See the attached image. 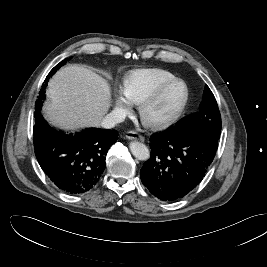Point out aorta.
I'll return each mask as SVG.
<instances>
[{
	"label": "aorta",
	"instance_id": "obj_1",
	"mask_svg": "<svg viewBox=\"0 0 267 267\" xmlns=\"http://www.w3.org/2000/svg\"><path fill=\"white\" fill-rule=\"evenodd\" d=\"M129 148L131 153L138 159V160H147L150 157V152L147 146L138 141H132L129 144Z\"/></svg>",
	"mask_w": 267,
	"mask_h": 267
}]
</instances>
